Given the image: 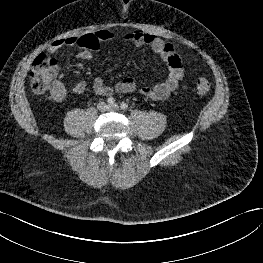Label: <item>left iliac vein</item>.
<instances>
[{
  "label": "left iliac vein",
  "instance_id": "left-iliac-vein-1",
  "mask_svg": "<svg viewBox=\"0 0 263 263\" xmlns=\"http://www.w3.org/2000/svg\"><path fill=\"white\" fill-rule=\"evenodd\" d=\"M109 109L117 111V110H119V105L118 104H113V105L109 106Z\"/></svg>",
  "mask_w": 263,
  "mask_h": 263
}]
</instances>
